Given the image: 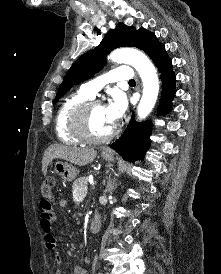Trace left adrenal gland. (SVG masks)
Instances as JSON below:
<instances>
[{
    "label": "left adrenal gland",
    "mask_w": 221,
    "mask_h": 274,
    "mask_svg": "<svg viewBox=\"0 0 221 274\" xmlns=\"http://www.w3.org/2000/svg\"><path fill=\"white\" fill-rule=\"evenodd\" d=\"M116 187H117V186L114 185V182H113V183H109V184L107 185V191H108L109 193H112V192L116 189Z\"/></svg>",
    "instance_id": "a2214340"
}]
</instances>
